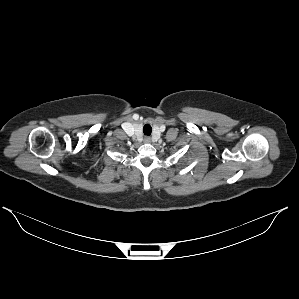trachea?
I'll return each mask as SVG.
<instances>
[{
    "label": "trachea",
    "instance_id": "obj_1",
    "mask_svg": "<svg viewBox=\"0 0 299 299\" xmlns=\"http://www.w3.org/2000/svg\"><path fill=\"white\" fill-rule=\"evenodd\" d=\"M151 132H152V127L150 126V124H145L143 127V133L146 136H150Z\"/></svg>",
    "mask_w": 299,
    "mask_h": 299
}]
</instances>
